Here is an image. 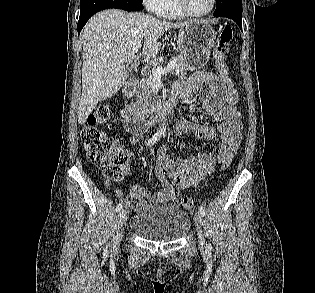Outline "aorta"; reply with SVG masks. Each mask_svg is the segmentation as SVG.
Here are the masks:
<instances>
[{"instance_id": "aorta-1", "label": "aorta", "mask_w": 315, "mask_h": 293, "mask_svg": "<svg viewBox=\"0 0 315 293\" xmlns=\"http://www.w3.org/2000/svg\"><path fill=\"white\" fill-rule=\"evenodd\" d=\"M161 130H165V123L162 124Z\"/></svg>"}]
</instances>
